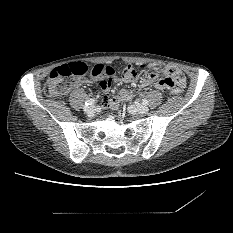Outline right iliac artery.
Here are the masks:
<instances>
[{
    "label": "right iliac artery",
    "mask_w": 233,
    "mask_h": 233,
    "mask_svg": "<svg viewBox=\"0 0 233 233\" xmlns=\"http://www.w3.org/2000/svg\"><path fill=\"white\" fill-rule=\"evenodd\" d=\"M94 102H95V100L94 99H88V100H86V102H85V105H92V104H94Z\"/></svg>",
    "instance_id": "obj_1"
}]
</instances>
